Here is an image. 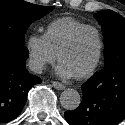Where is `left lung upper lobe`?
Masks as SVG:
<instances>
[{
	"instance_id": "left-lung-upper-lobe-1",
	"label": "left lung upper lobe",
	"mask_w": 125,
	"mask_h": 125,
	"mask_svg": "<svg viewBox=\"0 0 125 125\" xmlns=\"http://www.w3.org/2000/svg\"><path fill=\"white\" fill-rule=\"evenodd\" d=\"M104 36L105 63L117 57H125V19L112 10L94 14Z\"/></svg>"
}]
</instances>
